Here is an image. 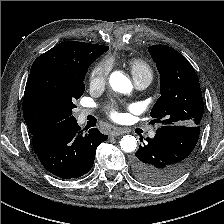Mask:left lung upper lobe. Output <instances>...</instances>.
Instances as JSON below:
<instances>
[{"mask_svg":"<svg viewBox=\"0 0 224 224\" xmlns=\"http://www.w3.org/2000/svg\"><path fill=\"white\" fill-rule=\"evenodd\" d=\"M160 73L161 96L150 115L167 125L199 126L204 105L198 76L188 60L166 45L148 48Z\"/></svg>","mask_w":224,"mask_h":224,"instance_id":"left-lung-upper-lobe-1","label":"left lung upper lobe"}]
</instances>
